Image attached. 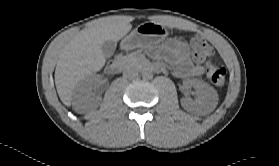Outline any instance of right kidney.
Listing matches in <instances>:
<instances>
[{"mask_svg":"<svg viewBox=\"0 0 279 166\" xmlns=\"http://www.w3.org/2000/svg\"><path fill=\"white\" fill-rule=\"evenodd\" d=\"M100 82V78L93 76L84 79L75 89V100L79 104H83L82 107L86 106L92 99V89L95 85Z\"/></svg>","mask_w":279,"mask_h":166,"instance_id":"right-kidney-1","label":"right kidney"}]
</instances>
